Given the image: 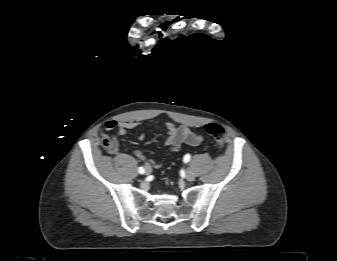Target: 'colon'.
Wrapping results in <instances>:
<instances>
[{
    "label": "colon",
    "instance_id": "colon-1",
    "mask_svg": "<svg viewBox=\"0 0 337 261\" xmlns=\"http://www.w3.org/2000/svg\"><path fill=\"white\" fill-rule=\"evenodd\" d=\"M205 131L217 142L219 148L224 145V129L217 123H209L205 125ZM112 142L107 137L102 138V145L110 149Z\"/></svg>",
    "mask_w": 337,
    "mask_h": 261
}]
</instances>
